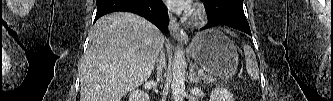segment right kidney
Masks as SVG:
<instances>
[{"instance_id":"right-kidney-1","label":"right kidney","mask_w":333,"mask_h":101,"mask_svg":"<svg viewBox=\"0 0 333 101\" xmlns=\"http://www.w3.org/2000/svg\"><path fill=\"white\" fill-rule=\"evenodd\" d=\"M129 101H149V96L143 91L135 90L130 93Z\"/></svg>"}]
</instances>
